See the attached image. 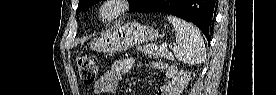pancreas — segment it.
<instances>
[{"instance_id": "cf45deb5", "label": "pancreas", "mask_w": 277, "mask_h": 95, "mask_svg": "<svg viewBox=\"0 0 277 95\" xmlns=\"http://www.w3.org/2000/svg\"><path fill=\"white\" fill-rule=\"evenodd\" d=\"M137 50L149 57H162L167 60H174V56L171 53L166 50L157 49L152 44L145 45L143 48L139 47Z\"/></svg>"}]
</instances>
